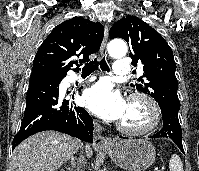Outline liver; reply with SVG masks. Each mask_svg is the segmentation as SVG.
<instances>
[{
  "label": "liver",
  "instance_id": "liver-1",
  "mask_svg": "<svg viewBox=\"0 0 199 171\" xmlns=\"http://www.w3.org/2000/svg\"><path fill=\"white\" fill-rule=\"evenodd\" d=\"M78 139L56 131H43L27 138L14 150L10 171H56L81 147ZM92 156V149L85 146Z\"/></svg>",
  "mask_w": 199,
  "mask_h": 171
}]
</instances>
